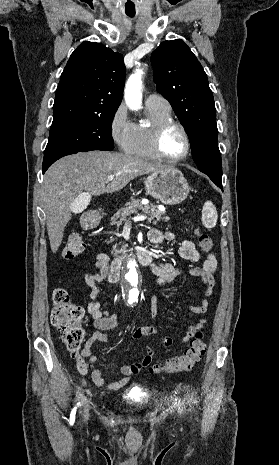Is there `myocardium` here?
Returning a JSON list of instances; mask_svg holds the SVG:
<instances>
[{"label":"myocardium","instance_id":"1","mask_svg":"<svg viewBox=\"0 0 279 465\" xmlns=\"http://www.w3.org/2000/svg\"><path fill=\"white\" fill-rule=\"evenodd\" d=\"M170 127H177L181 131L183 138H184V142H185V149L183 153L176 157L166 156L161 149L162 136L164 132ZM151 148H152L154 155L162 161L169 162V163H177V162L183 161L188 157L191 151V140H190L189 133L184 127V125L181 124L180 122L175 121L173 119L164 120L156 124L153 128L152 136H151Z\"/></svg>","mask_w":279,"mask_h":465}]
</instances>
